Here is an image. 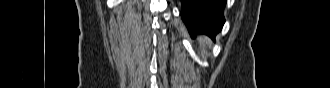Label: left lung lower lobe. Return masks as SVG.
Wrapping results in <instances>:
<instances>
[{
	"label": "left lung lower lobe",
	"instance_id": "0a47b994",
	"mask_svg": "<svg viewBox=\"0 0 330 88\" xmlns=\"http://www.w3.org/2000/svg\"><path fill=\"white\" fill-rule=\"evenodd\" d=\"M181 17L192 37L206 34L215 41V35L225 23L223 15L227 0H181Z\"/></svg>",
	"mask_w": 330,
	"mask_h": 88
}]
</instances>
